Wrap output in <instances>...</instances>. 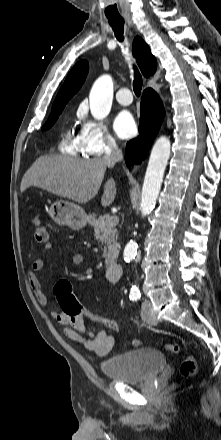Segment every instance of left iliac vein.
Masks as SVG:
<instances>
[{"mask_svg":"<svg viewBox=\"0 0 221 440\" xmlns=\"http://www.w3.org/2000/svg\"><path fill=\"white\" fill-rule=\"evenodd\" d=\"M150 308H151L150 301L149 300H144L143 303H142L141 316H142V319L146 323L154 325V324H156V320L152 316V314L150 312Z\"/></svg>","mask_w":221,"mask_h":440,"instance_id":"obj_1","label":"left iliac vein"}]
</instances>
